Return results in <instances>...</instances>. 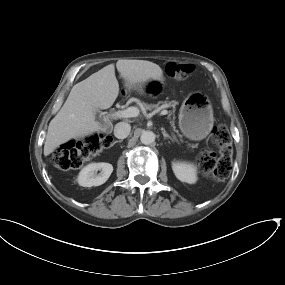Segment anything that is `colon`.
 I'll return each mask as SVG.
<instances>
[{"instance_id": "1", "label": "colon", "mask_w": 285, "mask_h": 285, "mask_svg": "<svg viewBox=\"0 0 285 285\" xmlns=\"http://www.w3.org/2000/svg\"><path fill=\"white\" fill-rule=\"evenodd\" d=\"M166 69L171 77L179 80L188 79L194 71L192 65L176 62H170ZM211 142L219 154L208 148L202 149L198 155V165L204 177L222 181L228 177L232 166V146L228 130L224 125L213 128ZM105 145L106 142L97 136L86 138L79 146L74 141H69L55 150L52 162L61 170L77 169L89 155Z\"/></svg>"}]
</instances>
